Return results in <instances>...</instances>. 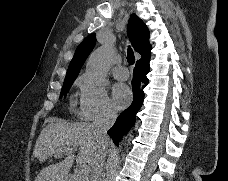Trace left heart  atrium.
<instances>
[{
    "instance_id": "39dd6f15",
    "label": "left heart atrium",
    "mask_w": 228,
    "mask_h": 181,
    "mask_svg": "<svg viewBox=\"0 0 228 181\" xmlns=\"http://www.w3.org/2000/svg\"><path fill=\"white\" fill-rule=\"evenodd\" d=\"M115 100L122 104L124 100H128L131 96V92L127 86L122 84H116L113 88Z\"/></svg>"
}]
</instances>
